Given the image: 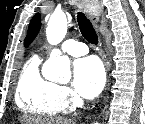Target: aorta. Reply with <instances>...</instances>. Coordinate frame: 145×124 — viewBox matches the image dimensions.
Wrapping results in <instances>:
<instances>
[{
	"mask_svg": "<svg viewBox=\"0 0 145 124\" xmlns=\"http://www.w3.org/2000/svg\"><path fill=\"white\" fill-rule=\"evenodd\" d=\"M67 23V16L63 12L55 13L50 17L46 28V37L50 44L56 45L64 39ZM42 75L50 81L68 82L71 79L69 58L62 56L60 50L53 49L42 68Z\"/></svg>",
	"mask_w": 145,
	"mask_h": 124,
	"instance_id": "762f6f07",
	"label": "aorta"
}]
</instances>
